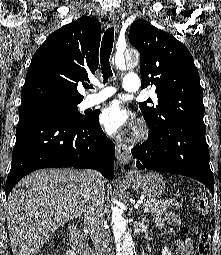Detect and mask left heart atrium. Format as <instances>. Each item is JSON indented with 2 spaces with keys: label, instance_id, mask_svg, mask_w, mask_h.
<instances>
[{
  "label": "left heart atrium",
  "instance_id": "left-heart-atrium-1",
  "mask_svg": "<svg viewBox=\"0 0 221 255\" xmlns=\"http://www.w3.org/2000/svg\"><path fill=\"white\" fill-rule=\"evenodd\" d=\"M100 122L108 133H115L128 124L129 113L119 102L113 101L102 110Z\"/></svg>",
  "mask_w": 221,
  "mask_h": 255
}]
</instances>
